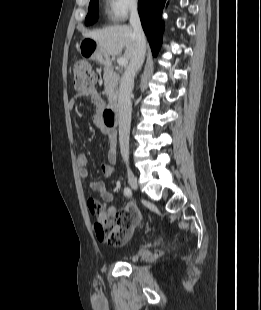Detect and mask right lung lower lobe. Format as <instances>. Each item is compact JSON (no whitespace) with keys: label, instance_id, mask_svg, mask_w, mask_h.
I'll return each mask as SVG.
<instances>
[{"label":"right lung lower lobe","instance_id":"obj_1","mask_svg":"<svg viewBox=\"0 0 261 310\" xmlns=\"http://www.w3.org/2000/svg\"><path fill=\"white\" fill-rule=\"evenodd\" d=\"M164 4L165 0H139L138 10L142 27L154 56L157 55L162 42L164 23L161 13Z\"/></svg>","mask_w":261,"mask_h":310}]
</instances>
